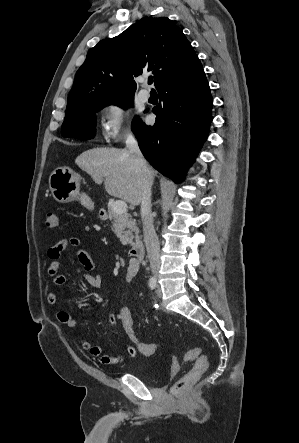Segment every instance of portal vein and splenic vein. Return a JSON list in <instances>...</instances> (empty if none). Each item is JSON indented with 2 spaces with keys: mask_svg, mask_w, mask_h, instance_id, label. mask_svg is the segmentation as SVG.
I'll return each mask as SVG.
<instances>
[{
  "mask_svg": "<svg viewBox=\"0 0 299 443\" xmlns=\"http://www.w3.org/2000/svg\"><path fill=\"white\" fill-rule=\"evenodd\" d=\"M112 209L117 214H125L127 212V204L125 201L118 200L112 204Z\"/></svg>",
  "mask_w": 299,
  "mask_h": 443,
  "instance_id": "1",
  "label": "portal vein and splenic vein"
}]
</instances>
